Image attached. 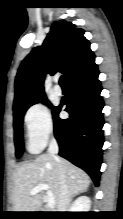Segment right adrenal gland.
Here are the masks:
<instances>
[{
    "instance_id": "1",
    "label": "right adrenal gland",
    "mask_w": 123,
    "mask_h": 219,
    "mask_svg": "<svg viewBox=\"0 0 123 219\" xmlns=\"http://www.w3.org/2000/svg\"><path fill=\"white\" fill-rule=\"evenodd\" d=\"M78 194H79V193L72 195V196H71V200H70V201H72V200H73V198H74L76 195H78Z\"/></svg>"
}]
</instances>
